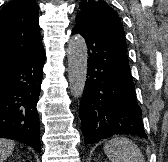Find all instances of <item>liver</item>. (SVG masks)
Listing matches in <instances>:
<instances>
[{
    "mask_svg": "<svg viewBox=\"0 0 168 162\" xmlns=\"http://www.w3.org/2000/svg\"><path fill=\"white\" fill-rule=\"evenodd\" d=\"M14 141L0 138V162L5 161L14 149Z\"/></svg>",
    "mask_w": 168,
    "mask_h": 162,
    "instance_id": "liver-1",
    "label": "liver"
}]
</instances>
